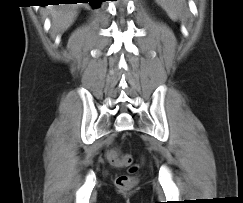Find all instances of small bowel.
Returning a JSON list of instances; mask_svg holds the SVG:
<instances>
[{
	"instance_id": "obj_1",
	"label": "small bowel",
	"mask_w": 243,
	"mask_h": 203,
	"mask_svg": "<svg viewBox=\"0 0 243 203\" xmlns=\"http://www.w3.org/2000/svg\"><path fill=\"white\" fill-rule=\"evenodd\" d=\"M111 151H112V150H109V151L107 152V159H108V161H109L113 166H115V167H121L120 165H118V164H116V163H114V162L112 161V159H111V157H110V153H111Z\"/></svg>"
}]
</instances>
